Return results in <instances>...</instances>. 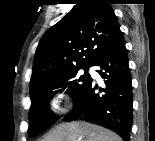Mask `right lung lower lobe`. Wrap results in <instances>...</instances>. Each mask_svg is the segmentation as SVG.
Instances as JSON below:
<instances>
[{
  "label": "right lung lower lobe",
  "mask_w": 155,
  "mask_h": 141,
  "mask_svg": "<svg viewBox=\"0 0 155 141\" xmlns=\"http://www.w3.org/2000/svg\"><path fill=\"white\" fill-rule=\"evenodd\" d=\"M93 66L104 79L105 87L99 88L93 80L75 100V107L64 121L84 117L85 120L102 125L129 140L133 120L132 81L125 41L120 32L101 53Z\"/></svg>",
  "instance_id": "right-lung-lower-lobe-1"
}]
</instances>
